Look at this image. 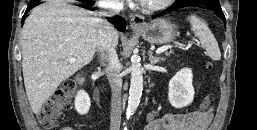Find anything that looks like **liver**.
Listing matches in <instances>:
<instances>
[{
    "mask_svg": "<svg viewBox=\"0 0 257 130\" xmlns=\"http://www.w3.org/2000/svg\"><path fill=\"white\" fill-rule=\"evenodd\" d=\"M91 12L58 0L37 6L21 31L22 69L32 111L59 85L89 64L98 50L102 19ZM118 44V33L116 34ZM70 58L76 61L69 62Z\"/></svg>",
    "mask_w": 257,
    "mask_h": 130,
    "instance_id": "obj_1",
    "label": "liver"
}]
</instances>
